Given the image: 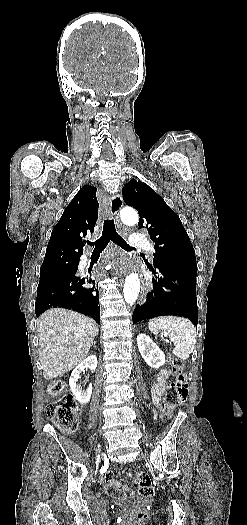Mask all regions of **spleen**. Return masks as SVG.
Masks as SVG:
<instances>
[{"label": "spleen", "instance_id": "3e777b00", "mask_svg": "<svg viewBox=\"0 0 247 525\" xmlns=\"http://www.w3.org/2000/svg\"><path fill=\"white\" fill-rule=\"evenodd\" d=\"M148 329L154 335H157V333L168 335L175 345L173 355L178 357V359L186 361L190 353H193L196 345V329L189 319H183V317H156V319H150Z\"/></svg>", "mask_w": 247, "mask_h": 525}]
</instances>
